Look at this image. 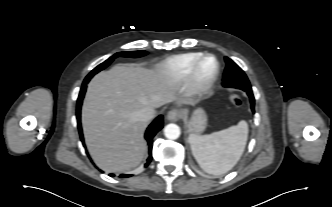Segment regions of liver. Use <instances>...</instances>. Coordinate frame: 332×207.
<instances>
[{
  "mask_svg": "<svg viewBox=\"0 0 332 207\" xmlns=\"http://www.w3.org/2000/svg\"><path fill=\"white\" fill-rule=\"evenodd\" d=\"M175 100V87L164 72L118 64L89 83L82 126L94 162L106 172H124L143 159L146 122L136 113Z\"/></svg>",
  "mask_w": 332,
  "mask_h": 207,
  "instance_id": "6515ba94",
  "label": "liver"
}]
</instances>
